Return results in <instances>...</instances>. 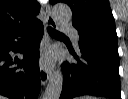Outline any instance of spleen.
<instances>
[{
	"mask_svg": "<svg viewBox=\"0 0 128 99\" xmlns=\"http://www.w3.org/2000/svg\"><path fill=\"white\" fill-rule=\"evenodd\" d=\"M87 99H91V97H87Z\"/></svg>",
	"mask_w": 128,
	"mask_h": 99,
	"instance_id": "obj_1",
	"label": "spleen"
}]
</instances>
